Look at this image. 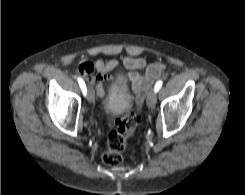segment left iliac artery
Listing matches in <instances>:
<instances>
[{
    "label": "left iliac artery",
    "instance_id": "44dca946",
    "mask_svg": "<svg viewBox=\"0 0 245 195\" xmlns=\"http://www.w3.org/2000/svg\"><path fill=\"white\" fill-rule=\"evenodd\" d=\"M163 82L161 80H159L154 87L155 92H158L160 90V88L162 87Z\"/></svg>",
    "mask_w": 245,
    "mask_h": 195
}]
</instances>
